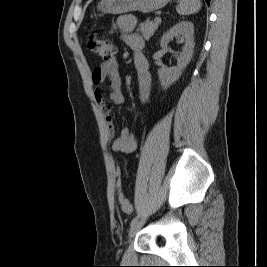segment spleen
I'll use <instances>...</instances> for the list:
<instances>
[{"label": "spleen", "mask_w": 267, "mask_h": 267, "mask_svg": "<svg viewBox=\"0 0 267 267\" xmlns=\"http://www.w3.org/2000/svg\"><path fill=\"white\" fill-rule=\"evenodd\" d=\"M201 8L200 0H180L176 11L179 15H191Z\"/></svg>", "instance_id": "obj_1"}]
</instances>
